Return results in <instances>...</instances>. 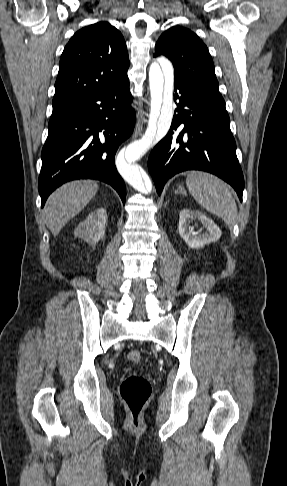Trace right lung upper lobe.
Here are the masks:
<instances>
[{
    "mask_svg": "<svg viewBox=\"0 0 287 486\" xmlns=\"http://www.w3.org/2000/svg\"><path fill=\"white\" fill-rule=\"evenodd\" d=\"M129 58L122 34L108 22L77 31L60 58L53 111L127 83Z\"/></svg>",
    "mask_w": 287,
    "mask_h": 486,
    "instance_id": "1",
    "label": "right lung upper lobe"
}]
</instances>
